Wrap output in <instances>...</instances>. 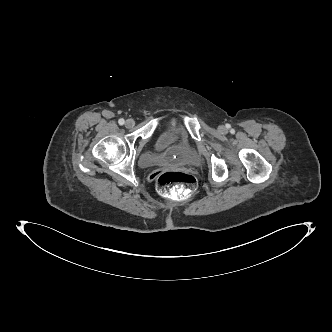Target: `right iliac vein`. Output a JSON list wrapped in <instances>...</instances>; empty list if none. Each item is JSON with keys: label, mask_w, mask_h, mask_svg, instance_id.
Instances as JSON below:
<instances>
[{"label": "right iliac vein", "mask_w": 332, "mask_h": 332, "mask_svg": "<svg viewBox=\"0 0 332 332\" xmlns=\"http://www.w3.org/2000/svg\"><path fill=\"white\" fill-rule=\"evenodd\" d=\"M135 125V122L133 119H127L125 122L126 128H132Z\"/></svg>", "instance_id": "obj_1"}]
</instances>
